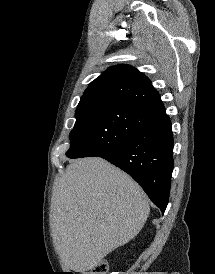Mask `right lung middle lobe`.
Wrapping results in <instances>:
<instances>
[{"instance_id":"obj_1","label":"right lung middle lobe","mask_w":215,"mask_h":274,"mask_svg":"<svg viewBox=\"0 0 215 274\" xmlns=\"http://www.w3.org/2000/svg\"><path fill=\"white\" fill-rule=\"evenodd\" d=\"M158 115L119 101L79 103L69 158L104 156L129 141Z\"/></svg>"}]
</instances>
